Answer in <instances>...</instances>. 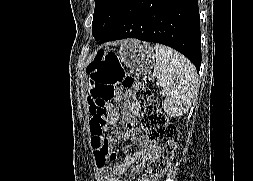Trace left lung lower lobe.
Returning <instances> with one entry per match:
<instances>
[{
    "mask_svg": "<svg viewBox=\"0 0 253 181\" xmlns=\"http://www.w3.org/2000/svg\"><path fill=\"white\" fill-rule=\"evenodd\" d=\"M136 38L172 47L201 65L197 0H131L99 43Z\"/></svg>",
    "mask_w": 253,
    "mask_h": 181,
    "instance_id": "left-lung-lower-lobe-1",
    "label": "left lung lower lobe"
}]
</instances>
